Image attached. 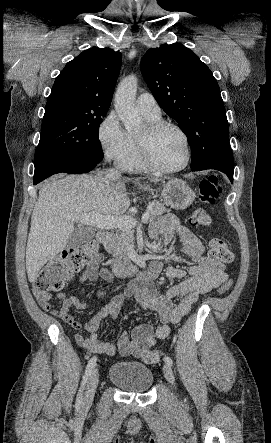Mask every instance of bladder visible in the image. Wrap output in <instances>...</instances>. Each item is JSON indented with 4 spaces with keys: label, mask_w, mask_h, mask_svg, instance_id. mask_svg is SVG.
Wrapping results in <instances>:
<instances>
[{
    "label": "bladder",
    "mask_w": 271,
    "mask_h": 443,
    "mask_svg": "<svg viewBox=\"0 0 271 443\" xmlns=\"http://www.w3.org/2000/svg\"><path fill=\"white\" fill-rule=\"evenodd\" d=\"M108 378L120 389L132 393L147 392L153 384L151 369L137 361H119L112 364Z\"/></svg>",
    "instance_id": "1"
}]
</instances>
